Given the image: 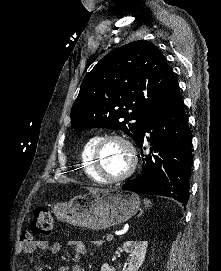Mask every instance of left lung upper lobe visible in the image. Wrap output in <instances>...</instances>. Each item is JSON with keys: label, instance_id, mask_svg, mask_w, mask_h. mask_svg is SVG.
Here are the masks:
<instances>
[{"label": "left lung upper lobe", "instance_id": "1", "mask_svg": "<svg viewBox=\"0 0 221 271\" xmlns=\"http://www.w3.org/2000/svg\"><path fill=\"white\" fill-rule=\"evenodd\" d=\"M179 86L158 48L134 41L104 56L84 78L71 110V128L119 129L135 141L144 122Z\"/></svg>", "mask_w": 221, "mask_h": 271}]
</instances>
